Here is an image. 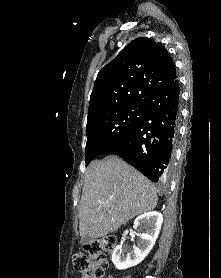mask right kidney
Returning <instances> with one entry per match:
<instances>
[{
  "label": "right kidney",
  "instance_id": "obj_1",
  "mask_svg": "<svg viewBox=\"0 0 221 278\" xmlns=\"http://www.w3.org/2000/svg\"><path fill=\"white\" fill-rule=\"evenodd\" d=\"M163 216L157 211L144 213L137 217L134 221V228L143 225L145 232L140 234V240L133 246V250L125 252L122 250L121 245L116 246L112 254V262L119 270L127 269L139 264L151 251L155 241L159 235ZM128 231L124 232V237Z\"/></svg>",
  "mask_w": 221,
  "mask_h": 278
}]
</instances>
